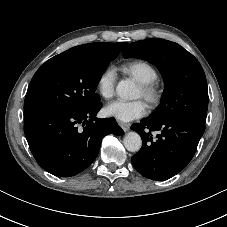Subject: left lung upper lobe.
<instances>
[{
	"label": "left lung upper lobe",
	"mask_w": 227,
	"mask_h": 227,
	"mask_svg": "<svg viewBox=\"0 0 227 227\" xmlns=\"http://www.w3.org/2000/svg\"><path fill=\"white\" fill-rule=\"evenodd\" d=\"M123 56L146 60L162 74L165 89L161 105L148 118H187L205 124L207 81L202 66L191 53L168 40L148 39L131 43Z\"/></svg>",
	"instance_id": "obj_1"
}]
</instances>
